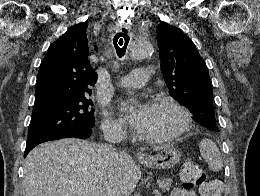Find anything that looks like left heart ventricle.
Instances as JSON below:
<instances>
[{
    "mask_svg": "<svg viewBox=\"0 0 260 196\" xmlns=\"http://www.w3.org/2000/svg\"><path fill=\"white\" fill-rule=\"evenodd\" d=\"M183 123L181 113L167 104H150V111L144 132L162 135L178 129Z\"/></svg>",
    "mask_w": 260,
    "mask_h": 196,
    "instance_id": "b2bd125f",
    "label": "left heart ventricle"
}]
</instances>
